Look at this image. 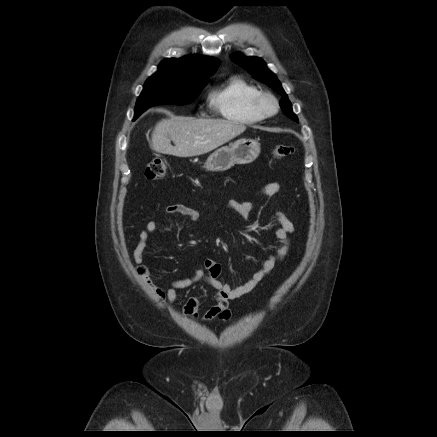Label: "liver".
<instances>
[{"mask_svg": "<svg viewBox=\"0 0 437 437\" xmlns=\"http://www.w3.org/2000/svg\"><path fill=\"white\" fill-rule=\"evenodd\" d=\"M245 130V125L228 120L174 117L156 124L151 136L152 148L158 153L177 157L198 156L229 142Z\"/></svg>", "mask_w": 437, "mask_h": 437, "instance_id": "6515ba94", "label": "liver"}]
</instances>
